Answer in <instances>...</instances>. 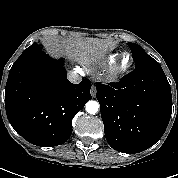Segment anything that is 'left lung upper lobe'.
<instances>
[{"mask_svg": "<svg viewBox=\"0 0 178 178\" xmlns=\"http://www.w3.org/2000/svg\"><path fill=\"white\" fill-rule=\"evenodd\" d=\"M128 46L130 47L132 51V57L135 62V69L149 65L158 63L155 59H153L151 56H149L144 49L135 43H128Z\"/></svg>", "mask_w": 178, "mask_h": 178, "instance_id": "1", "label": "left lung upper lobe"}]
</instances>
